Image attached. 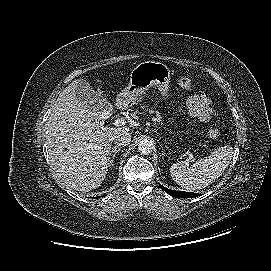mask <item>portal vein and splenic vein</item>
Here are the masks:
<instances>
[{
	"label": "portal vein and splenic vein",
	"instance_id": "obj_1",
	"mask_svg": "<svg viewBox=\"0 0 271 271\" xmlns=\"http://www.w3.org/2000/svg\"><path fill=\"white\" fill-rule=\"evenodd\" d=\"M115 126H122V125H125L126 124V120L123 119V118H118L116 120H114V123H113Z\"/></svg>",
	"mask_w": 271,
	"mask_h": 271
}]
</instances>
